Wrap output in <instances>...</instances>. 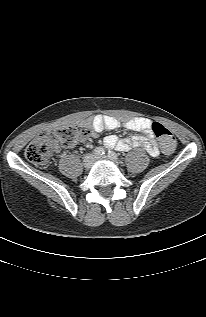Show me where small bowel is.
<instances>
[{"instance_id":"c3829d8e","label":"small bowel","mask_w":206,"mask_h":317,"mask_svg":"<svg viewBox=\"0 0 206 317\" xmlns=\"http://www.w3.org/2000/svg\"><path fill=\"white\" fill-rule=\"evenodd\" d=\"M74 127L86 128L90 130L92 137L104 130H115L118 128H125L128 130L139 132L140 135L133 136L128 139H120L115 135L106 136L104 143L108 148H115L119 151H128L132 148H143L151 156H157L159 149L154 141L151 130L152 121L147 118L137 117L120 121L112 116L96 115L92 118L84 119L73 123ZM60 146L54 144L53 150L58 151Z\"/></svg>"}]
</instances>
